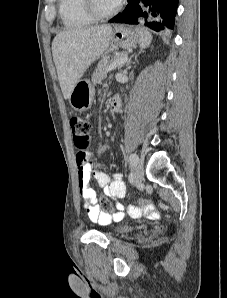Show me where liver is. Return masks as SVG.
<instances>
[{
	"mask_svg": "<svg viewBox=\"0 0 227 298\" xmlns=\"http://www.w3.org/2000/svg\"><path fill=\"white\" fill-rule=\"evenodd\" d=\"M113 30L109 25L75 28L56 35L52 42L53 60L64 99L86 69L109 47Z\"/></svg>",
	"mask_w": 227,
	"mask_h": 298,
	"instance_id": "liver-1",
	"label": "liver"
}]
</instances>
